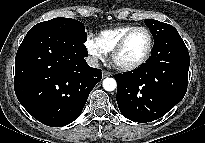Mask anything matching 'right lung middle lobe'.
<instances>
[{"label":"right lung middle lobe","mask_w":205,"mask_h":143,"mask_svg":"<svg viewBox=\"0 0 205 143\" xmlns=\"http://www.w3.org/2000/svg\"><path fill=\"white\" fill-rule=\"evenodd\" d=\"M34 27H51L66 33L80 42L85 43L87 40V33H85L83 23L75 19L58 17L38 23Z\"/></svg>","instance_id":"right-lung-middle-lobe-1"}]
</instances>
